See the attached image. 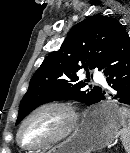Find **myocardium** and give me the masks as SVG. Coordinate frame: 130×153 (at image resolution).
<instances>
[{
	"mask_svg": "<svg viewBox=\"0 0 130 153\" xmlns=\"http://www.w3.org/2000/svg\"><path fill=\"white\" fill-rule=\"evenodd\" d=\"M46 109H59L63 111L67 116V124L65 128L62 130L61 133H59L57 136L53 137L49 141H46L44 143L38 144V145H26L21 140L22 131L27 124V122L34 117L37 113L46 110ZM79 121V114L77 112L76 107L66 101H60V100H53L48 101L45 103H42L35 107L33 110H31L22 120L19 129L17 131V141L19 145L26 150H40L47 148L49 146H52L54 144L60 143L67 139L75 130L77 124Z\"/></svg>",
	"mask_w": 130,
	"mask_h": 153,
	"instance_id": "1",
	"label": "myocardium"
}]
</instances>
